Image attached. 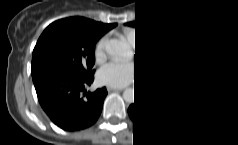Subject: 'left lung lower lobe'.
<instances>
[{
	"instance_id": "1",
	"label": "left lung lower lobe",
	"mask_w": 238,
	"mask_h": 145,
	"mask_svg": "<svg viewBox=\"0 0 238 145\" xmlns=\"http://www.w3.org/2000/svg\"><path fill=\"white\" fill-rule=\"evenodd\" d=\"M200 79L195 72L143 78L152 90L134 88V104L128 108L134 129L168 135L178 129L195 103Z\"/></svg>"
}]
</instances>
